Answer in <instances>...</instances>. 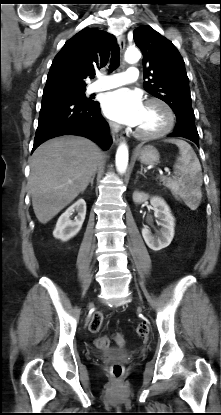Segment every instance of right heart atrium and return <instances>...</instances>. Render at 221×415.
<instances>
[{
  "instance_id": "right-heart-atrium-1",
  "label": "right heart atrium",
  "mask_w": 221,
  "mask_h": 415,
  "mask_svg": "<svg viewBox=\"0 0 221 415\" xmlns=\"http://www.w3.org/2000/svg\"><path fill=\"white\" fill-rule=\"evenodd\" d=\"M110 125H111V127H112V128H114V127H115V125H114V124H112V123H111Z\"/></svg>"
}]
</instances>
